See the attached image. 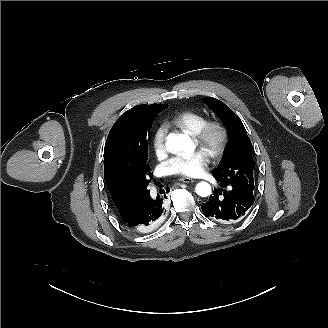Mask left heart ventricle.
Listing matches in <instances>:
<instances>
[{
	"label": "left heart ventricle",
	"mask_w": 328,
	"mask_h": 328,
	"mask_svg": "<svg viewBox=\"0 0 328 328\" xmlns=\"http://www.w3.org/2000/svg\"><path fill=\"white\" fill-rule=\"evenodd\" d=\"M218 141H219V134L217 131H214L211 135V138H210V143H211V146L214 147L218 144ZM193 146L194 148L196 147L195 144L193 143ZM204 152V151H203ZM205 153V152H204ZM206 154V153H205ZM207 155V154H206ZM208 156V155H207Z\"/></svg>",
	"instance_id": "b2bd125f"
}]
</instances>
